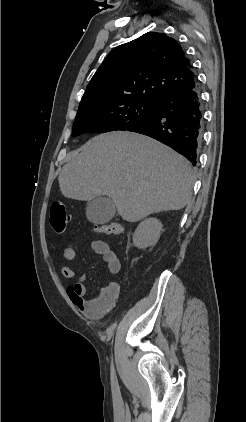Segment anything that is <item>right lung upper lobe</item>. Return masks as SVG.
Returning a JSON list of instances; mask_svg holds the SVG:
<instances>
[{"label": "right lung upper lobe", "instance_id": "right-lung-upper-lobe-1", "mask_svg": "<svg viewBox=\"0 0 246 422\" xmlns=\"http://www.w3.org/2000/svg\"><path fill=\"white\" fill-rule=\"evenodd\" d=\"M195 84L193 67L180 44L165 34L148 32L108 54L79 107L120 97L155 102Z\"/></svg>", "mask_w": 246, "mask_h": 422}]
</instances>
